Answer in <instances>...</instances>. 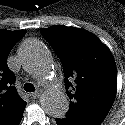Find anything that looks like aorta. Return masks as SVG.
I'll list each match as a JSON object with an SVG mask.
<instances>
[{
	"instance_id": "aorta-1",
	"label": "aorta",
	"mask_w": 125,
	"mask_h": 125,
	"mask_svg": "<svg viewBox=\"0 0 125 125\" xmlns=\"http://www.w3.org/2000/svg\"><path fill=\"white\" fill-rule=\"evenodd\" d=\"M19 59L22 66L46 86L40 96V104L45 113L63 118L68 111L69 102L64 92L55 85L54 68L47 47L39 40H26L19 50Z\"/></svg>"
}]
</instances>
